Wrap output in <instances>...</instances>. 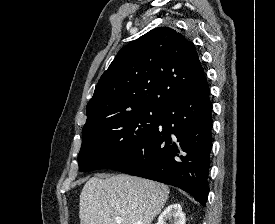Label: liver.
Wrapping results in <instances>:
<instances>
[{"instance_id": "1", "label": "liver", "mask_w": 275, "mask_h": 224, "mask_svg": "<svg viewBox=\"0 0 275 224\" xmlns=\"http://www.w3.org/2000/svg\"><path fill=\"white\" fill-rule=\"evenodd\" d=\"M169 187L148 179L119 174L92 177L80 195V224H151L161 212Z\"/></svg>"}]
</instances>
